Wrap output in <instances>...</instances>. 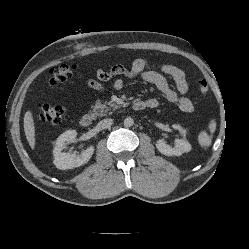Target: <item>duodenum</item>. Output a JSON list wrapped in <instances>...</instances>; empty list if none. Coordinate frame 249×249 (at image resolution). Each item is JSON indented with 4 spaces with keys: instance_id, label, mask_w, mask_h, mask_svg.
Masks as SVG:
<instances>
[{
    "instance_id": "1",
    "label": "duodenum",
    "mask_w": 249,
    "mask_h": 249,
    "mask_svg": "<svg viewBox=\"0 0 249 249\" xmlns=\"http://www.w3.org/2000/svg\"><path fill=\"white\" fill-rule=\"evenodd\" d=\"M146 103L144 101H136L133 103V109L136 111H141L146 108ZM93 116L91 113H85L80 118V124L82 127H89L92 124Z\"/></svg>"
}]
</instances>
